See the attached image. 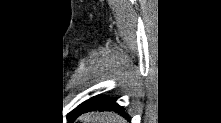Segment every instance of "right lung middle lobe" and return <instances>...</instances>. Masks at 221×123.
<instances>
[{"label": "right lung middle lobe", "instance_id": "dd1d6c3e", "mask_svg": "<svg viewBox=\"0 0 221 123\" xmlns=\"http://www.w3.org/2000/svg\"><path fill=\"white\" fill-rule=\"evenodd\" d=\"M93 98L89 99L88 101H85L84 103H82L81 105H79L76 109H74L71 114L70 117H75L78 116L82 110L91 103Z\"/></svg>", "mask_w": 221, "mask_h": 123}]
</instances>
